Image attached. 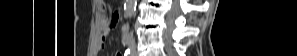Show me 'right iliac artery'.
<instances>
[{
	"label": "right iliac artery",
	"instance_id": "obj_1",
	"mask_svg": "<svg viewBox=\"0 0 297 56\" xmlns=\"http://www.w3.org/2000/svg\"><path fill=\"white\" fill-rule=\"evenodd\" d=\"M122 43H123V45H127L129 43V36L128 35H124L122 37Z\"/></svg>",
	"mask_w": 297,
	"mask_h": 56
}]
</instances>
